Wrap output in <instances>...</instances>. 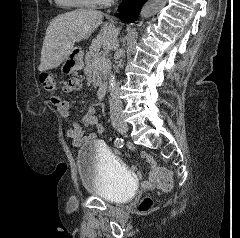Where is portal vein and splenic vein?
<instances>
[{
  "label": "portal vein and splenic vein",
  "instance_id": "18ae733b",
  "mask_svg": "<svg viewBox=\"0 0 240 238\" xmlns=\"http://www.w3.org/2000/svg\"><path fill=\"white\" fill-rule=\"evenodd\" d=\"M97 62H99V63H101V64H105L106 62H105V60H101V59H97Z\"/></svg>",
  "mask_w": 240,
  "mask_h": 238
}]
</instances>
